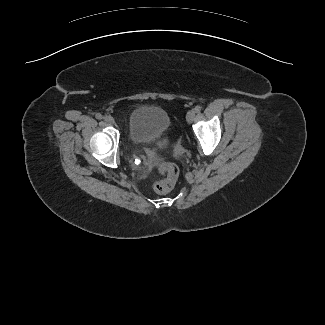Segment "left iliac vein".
Instances as JSON below:
<instances>
[{
    "label": "left iliac vein",
    "mask_w": 325,
    "mask_h": 325,
    "mask_svg": "<svg viewBox=\"0 0 325 325\" xmlns=\"http://www.w3.org/2000/svg\"><path fill=\"white\" fill-rule=\"evenodd\" d=\"M195 110H189L187 115H186V119H187V122L190 124L194 121L195 119Z\"/></svg>",
    "instance_id": "left-iliac-vein-1"
}]
</instances>
